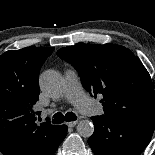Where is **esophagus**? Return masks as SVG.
<instances>
[{
	"label": "esophagus",
	"mask_w": 155,
	"mask_h": 155,
	"mask_svg": "<svg viewBox=\"0 0 155 155\" xmlns=\"http://www.w3.org/2000/svg\"><path fill=\"white\" fill-rule=\"evenodd\" d=\"M78 121H72V122H67L68 127H74L76 126Z\"/></svg>",
	"instance_id": "1"
}]
</instances>
